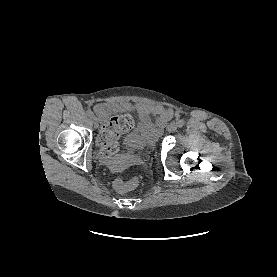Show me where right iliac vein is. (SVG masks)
<instances>
[{
	"label": "right iliac vein",
	"mask_w": 277,
	"mask_h": 277,
	"mask_svg": "<svg viewBox=\"0 0 277 277\" xmlns=\"http://www.w3.org/2000/svg\"><path fill=\"white\" fill-rule=\"evenodd\" d=\"M92 122L94 124V127L97 128L98 127V120H97L96 117H94V116L92 117Z\"/></svg>",
	"instance_id": "right-iliac-vein-1"
}]
</instances>
